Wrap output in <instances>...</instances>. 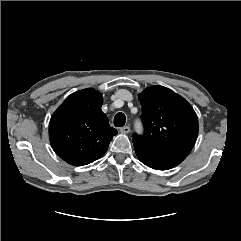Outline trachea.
Returning a JSON list of instances; mask_svg holds the SVG:
<instances>
[{
	"instance_id": "obj_1",
	"label": "trachea",
	"mask_w": 241,
	"mask_h": 241,
	"mask_svg": "<svg viewBox=\"0 0 241 241\" xmlns=\"http://www.w3.org/2000/svg\"><path fill=\"white\" fill-rule=\"evenodd\" d=\"M125 122H126V117H125L124 113L119 112L115 115L114 125L116 127H123L125 125Z\"/></svg>"
}]
</instances>
